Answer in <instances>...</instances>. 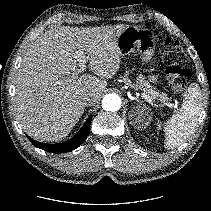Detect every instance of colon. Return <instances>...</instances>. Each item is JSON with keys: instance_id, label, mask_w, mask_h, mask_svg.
<instances>
[{"instance_id": "5ec220e1", "label": "colon", "mask_w": 211, "mask_h": 211, "mask_svg": "<svg viewBox=\"0 0 211 211\" xmlns=\"http://www.w3.org/2000/svg\"><path fill=\"white\" fill-rule=\"evenodd\" d=\"M161 58L167 66L165 76L171 90L175 93L182 92L190 80V73L181 67L185 61L181 44L176 39L163 38Z\"/></svg>"}]
</instances>
